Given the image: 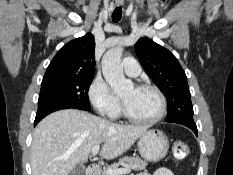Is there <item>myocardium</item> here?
I'll return each instance as SVG.
<instances>
[{
  "mask_svg": "<svg viewBox=\"0 0 233 175\" xmlns=\"http://www.w3.org/2000/svg\"><path fill=\"white\" fill-rule=\"evenodd\" d=\"M135 88L136 89H149V90L154 91L157 94L159 101H160L159 112L150 119L136 118L129 112L125 101L121 98V111H122L123 116L129 122L134 123V124H140V125H151V124H154L160 121L165 116L166 111H167V100L162 90L156 85H153L150 83L137 84L135 85Z\"/></svg>",
  "mask_w": 233,
  "mask_h": 175,
  "instance_id": "1",
  "label": "myocardium"
}]
</instances>
